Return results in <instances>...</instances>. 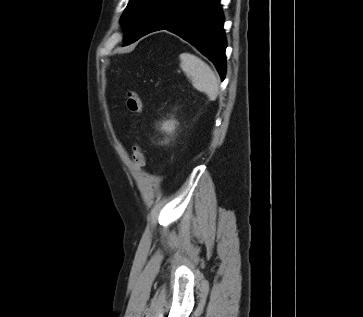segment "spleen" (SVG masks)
Returning <instances> with one entry per match:
<instances>
[{
    "mask_svg": "<svg viewBox=\"0 0 363 317\" xmlns=\"http://www.w3.org/2000/svg\"><path fill=\"white\" fill-rule=\"evenodd\" d=\"M179 59L181 69L192 81L194 88L206 93L211 100L216 99L219 92V79L210 66L190 53L180 54Z\"/></svg>",
    "mask_w": 363,
    "mask_h": 317,
    "instance_id": "3e777b00",
    "label": "spleen"
}]
</instances>
